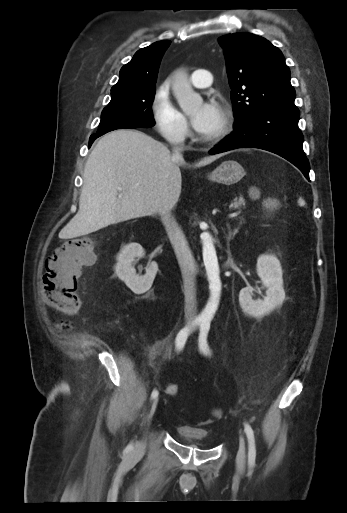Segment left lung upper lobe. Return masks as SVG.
Instances as JSON below:
<instances>
[{"label": "left lung upper lobe", "instance_id": "obj_1", "mask_svg": "<svg viewBox=\"0 0 347 513\" xmlns=\"http://www.w3.org/2000/svg\"><path fill=\"white\" fill-rule=\"evenodd\" d=\"M233 103L235 123L264 109L295 108V90L282 52L251 33L220 37Z\"/></svg>", "mask_w": 347, "mask_h": 513}]
</instances>
